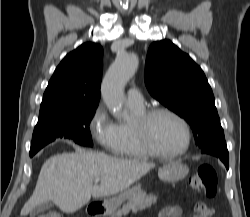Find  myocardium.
<instances>
[{"label": "myocardium", "mask_w": 250, "mask_h": 217, "mask_svg": "<svg viewBox=\"0 0 250 217\" xmlns=\"http://www.w3.org/2000/svg\"><path fill=\"white\" fill-rule=\"evenodd\" d=\"M159 114H167L174 119H176L184 129L185 132V144L184 146L177 151L165 153L158 150L153 144L150 134H149V124L151 120ZM134 130L137 136V139L142 146V148L153 157L161 158V159H169L175 158L183 155L191 145V129L188 122L177 112L174 110L164 107V106H156L145 110L140 116L137 117L134 123Z\"/></svg>", "instance_id": "obj_1"}]
</instances>
